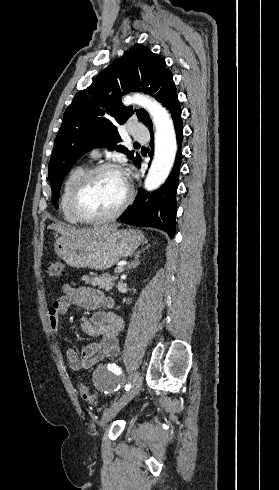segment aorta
I'll list each match as a JSON object with an SVG mask.
<instances>
[{
    "label": "aorta",
    "mask_w": 279,
    "mask_h": 490,
    "mask_svg": "<svg viewBox=\"0 0 279 490\" xmlns=\"http://www.w3.org/2000/svg\"><path fill=\"white\" fill-rule=\"evenodd\" d=\"M124 104H137L151 116L155 126L154 157L147 173L144 188L156 190L167 179L177 151L174 123L168 111L157 101L144 95H133L124 99Z\"/></svg>",
    "instance_id": "762f6f07"
}]
</instances>
